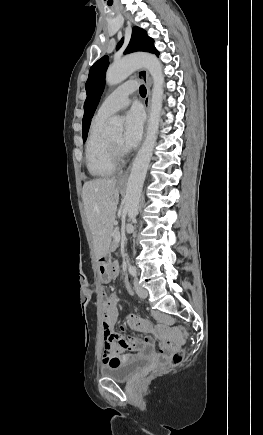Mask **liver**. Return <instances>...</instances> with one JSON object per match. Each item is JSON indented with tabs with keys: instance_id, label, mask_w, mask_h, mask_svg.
Instances as JSON below:
<instances>
[{
	"instance_id": "liver-1",
	"label": "liver",
	"mask_w": 263,
	"mask_h": 435,
	"mask_svg": "<svg viewBox=\"0 0 263 435\" xmlns=\"http://www.w3.org/2000/svg\"><path fill=\"white\" fill-rule=\"evenodd\" d=\"M82 200L97 258L109 248L110 235L119 202L115 178L95 179L85 182Z\"/></svg>"
}]
</instances>
